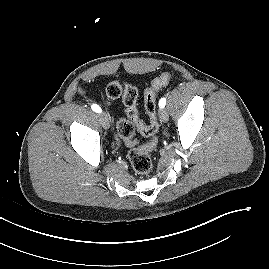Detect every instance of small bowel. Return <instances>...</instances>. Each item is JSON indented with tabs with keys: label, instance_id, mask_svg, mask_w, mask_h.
<instances>
[{
	"label": "small bowel",
	"instance_id": "obj_1",
	"mask_svg": "<svg viewBox=\"0 0 269 269\" xmlns=\"http://www.w3.org/2000/svg\"><path fill=\"white\" fill-rule=\"evenodd\" d=\"M79 92L84 93V90L83 89H79Z\"/></svg>",
	"mask_w": 269,
	"mask_h": 269
}]
</instances>
